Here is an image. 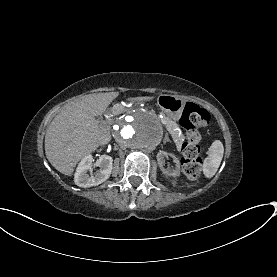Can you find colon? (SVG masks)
Wrapping results in <instances>:
<instances>
[{"label":"colon","instance_id":"obj_1","mask_svg":"<svg viewBox=\"0 0 277 277\" xmlns=\"http://www.w3.org/2000/svg\"><path fill=\"white\" fill-rule=\"evenodd\" d=\"M209 122V112L193 103L185 105L179 119L181 127L186 131L185 142L180 146L181 167L183 173L192 180H198L203 176L199 142L202 138L201 130L206 128Z\"/></svg>","mask_w":277,"mask_h":277}]
</instances>
